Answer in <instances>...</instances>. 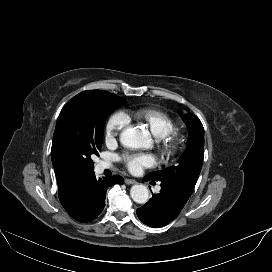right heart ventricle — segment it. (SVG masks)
<instances>
[{"label": "right heart ventricle", "instance_id": "1", "mask_svg": "<svg viewBox=\"0 0 272 272\" xmlns=\"http://www.w3.org/2000/svg\"><path fill=\"white\" fill-rule=\"evenodd\" d=\"M127 115L131 119V115ZM133 116L138 120L144 121L157 137L169 135L177 129L176 122L169 115L157 110H141Z\"/></svg>", "mask_w": 272, "mask_h": 272}]
</instances>
